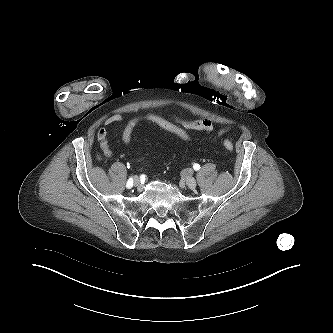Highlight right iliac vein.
I'll return each mask as SVG.
<instances>
[{
    "label": "right iliac vein",
    "instance_id": "63e3f726",
    "mask_svg": "<svg viewBox=\"0 0 333 333\" xmlns=\"http://www.w3.org/2000/svg\"><path fill=\"white\" fill-rule=\"evenodd\" d=\"M133 184L135 187H139L141 185L138 177H136V176L134 177Z\"/></svg>",
    "mask_w": 333,
    "mask_h": 333
}]
</instances>
